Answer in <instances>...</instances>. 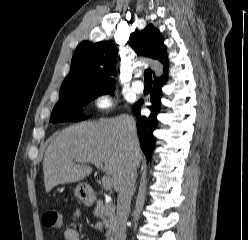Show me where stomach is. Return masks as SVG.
I'll return each instance as SVG.
<instances>
[{"mask_svg":"<svg viewBox=\"0 0 248 240\" xmlns=\"http://www.w3.org/2000/svg\"><path fill=\"white\" fill-rule=\"evenodd\" d=\"M75 195L83 203H90L92 201V193L90 187L85 183H80L75 188Z\"/></svg>","mask_w":248,"mask_h":240,"instance_id":"0dacf381","label":"stomach"}]
</instances>
